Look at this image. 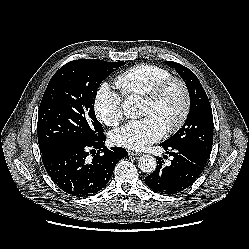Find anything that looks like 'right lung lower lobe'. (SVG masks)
I'll list each match as a JSON object with an SVG mask.
<instances>
[{"label": "right lung lower lobe", "instance_id": "1", "mask_svg": "<svg viewBox=\"0 0 249 249\" xmlns=\"http://www.w3.org/2000/svg\"><path fill=\"white\" fill-rule=\"evenodd\" d=\"M105 141L103 134L90 141L67 144L42 154L44 167L54 183L67 194L76 197L94 195L110 180L117 162L128 155L122 147L108 149L104 146Z\"/></svg>", "mask_w": 249, "mask_h": 249}]
</instances>
